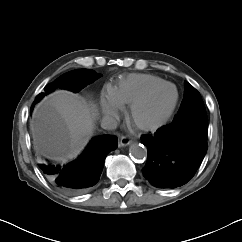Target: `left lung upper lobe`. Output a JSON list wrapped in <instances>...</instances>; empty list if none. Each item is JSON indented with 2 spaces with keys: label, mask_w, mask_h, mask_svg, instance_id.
I'll use <instances>...</instances> for the list:
<instances>
[{
  "label": "left lung upper lobe",
  "mask_w": 242,
  "mask_h": 242,
  "mask_svg": "<svg viewBox=\"0 0 242 242\" xmlns=\"http://www.w3.org/2000/svg\"><path fill=\"white\" fill-rule=\"evenodd\" d=\"M184 98L173 122L164 126L177 131L193 123H207L206 109L200 93L187 81H184Z\"/></svg>",
  "instance_id": "obj_1"
}]
</instances>
